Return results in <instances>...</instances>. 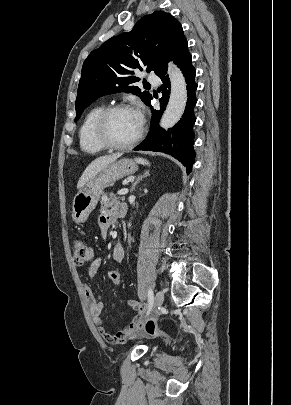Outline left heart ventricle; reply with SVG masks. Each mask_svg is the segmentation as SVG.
Masks as SVG:
<instances>
[{"instance_id":"b2bd125f","label":"left heart ventricle","mask_w":291,"mask_h":405,"mask_svg":"<svg viewBox=\"0 0 291 405\" xmlns=\"http://www.w3.org/2000/svg\"><path fill=\"white\" fill-rule=\"evenodd\" d=\"M140 127L135 110H121L109 119L108 133L114 142L127 143L137 135Z\"/></svg>"}]
</instances>
